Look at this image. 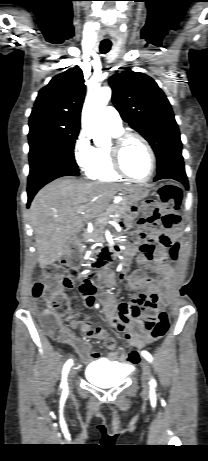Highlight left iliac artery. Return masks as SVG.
Returning <instances> with one entry per match:
<instances>
[{
    "label": "left iliac artery",
    "instance_id": "1",
    "mask_svg": "<svg viewBox=\"0 0 208 461\" xmlns=\"http://www.w3.org/2000/svg\"><path fill=\"white\" fill-rule=\"evenodd\" d=\"M142 355H143L144 358H146L149 362L152 361V356L150 355L149 352H147V351H142ZM150 384H151V385H155V384H156L155 380L152 379V380L150 381Z\"/></svg>",
    "mask_w": 208,
    "mask_h": 461
}]
</instances>
